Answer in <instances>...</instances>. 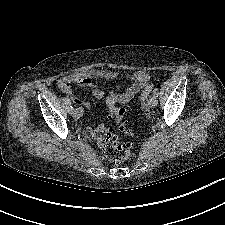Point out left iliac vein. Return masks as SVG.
Wrapping results in <instances>:
<instances>
[{"label":"left iliac vein","mask_w":225,"mask_h":225,"mask_svg":"<svg viewBox=\"0 0 225 225\" xmlns=\"http://www.w3.org/2000/svg\"><path fill=\"white\" fill-rule=\"evenodd\" d=\"M157 103H158L157 96L154 94V95H152L151 98H150V105H151L152 107H154V106L157 105Z\"/></svg>","instance_id":"1"}]
</instances>
